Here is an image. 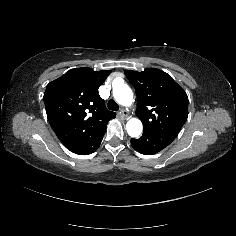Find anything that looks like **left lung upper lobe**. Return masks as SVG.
I'll return each mask as SVG.
<instances>
[{
	"label": "left lung upper lobe",
	"instance_id": "left-lung-upper-lobe-1",
	"mask_svg": "<svg viewBox=\"0 0 236 236\" xmlns=\"http://www.w3.org/2000/svg\"><path fill=\"white\" fill-rule=\"evenodd\" d=\"M124 72L136 91V115L143 123V131L176 137L188 117L186 92L159 69Z\"/></svg>",
	"mask_w": 236,
	"mask_h": 236
}]
</instances>
